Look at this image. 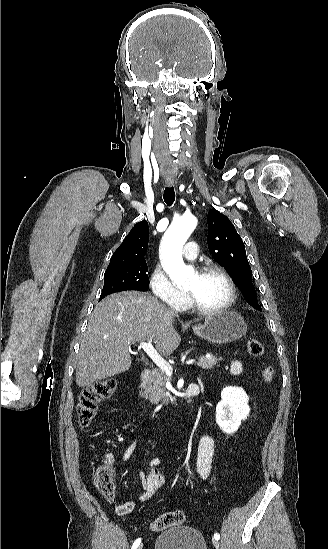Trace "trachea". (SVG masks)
Returning a JSON list of instances; mask_svg holds the SVG:
<instances>
[{
  "instance_id": "obj_1",
  "label": "trachea",
  "mask_w": 328,
  "mask_h": 549,
  "mask_svg": "<svg viewBox=\"0 0 328 549\" xmlns=\"http://www.w3.org/2000/svg\"><path fill=\"white\" fill-rule=\"evenodd\" d=\"M163 198L165 203L168 205V207H171V205L174 203V200H175L174 188L166 187L164 190Z\"/></svg>"
}]
</instances>
